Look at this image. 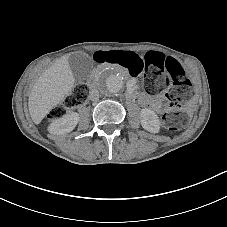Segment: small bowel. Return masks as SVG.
Wrapping results in <instances>:
<instances>
[{"mask_svg":"<svg viewBox=\"0 0 227 227\" xmlns=\"http://www.w3.org/2000/svg\"><path fill=\"white\" fill-rule=\"evenodd\" d=\"M162 57H166L163 53L155 52ZM148 106L157 112H163L165 108L162 105V102L156 98H148Z\"/></svg>","mask_w":227,"mask_h":227,"instance_id":"c3829d8e","label":"small bowel"}]
</instances>
